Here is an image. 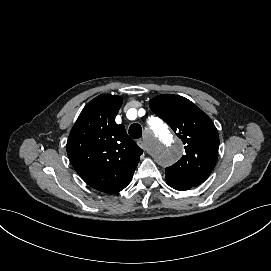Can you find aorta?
Returning <instances> with one entry per match:
<instances>
[{
	"instance_id": "762f6f07",
	"label": "aorta",
	"mask_w": 271,
	"mask_h": 271,
	"mask_svg": "<svg viewBox=\"0 0 271 271\" xmlns=\"http://www.w3.org/2000/svg\"><path fill=\"white\" fill-rule=\"evenodd\" d=\"M148 123L147 141L154 160L161 166H171L182 155L181 144L159 119L151 118Z\"/></svg>"
}]
</instances>
